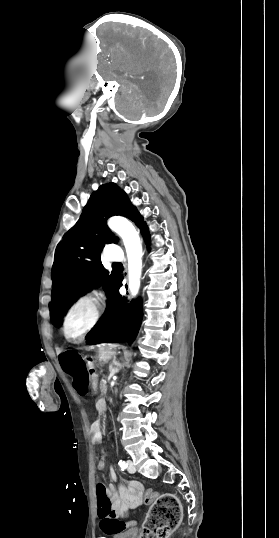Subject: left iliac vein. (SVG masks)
I'll list each match as a JSON object with an SVG mask.
<instances>
[{"mask_svg": "<svg viewBox=\"0 0 279 538\" xmlns=\"http://www.w3.org/2000/svg\"><path fill=\"white\" fill-rule=\"evenodd\" d=\"M127 464H128V472L129 473H135L136 469H135V466H134L133 462L131 460H128Z\"/></svg>", "mask_w": 279, "mask_h": 538, "instance_id": "1", "label": "left iliac vein"}]
</instances>
